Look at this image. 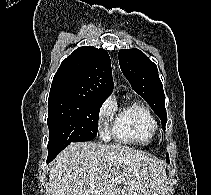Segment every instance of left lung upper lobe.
Wrapping results in <instances>:
<instances>
[{
  "instance_id": "obj_1",
  "label": "left lung upper lobe",
  "mask_w": 211,
  "mask_h": 195,
  "mask_svg": "<svg viewBox=\"0 0 211 195\" xmlns=\"http://www.w3.org/2000/svg\"><path fill=\"white\" fill-rule=\"evenodd\" d=\"M118 58L120 68L133 90L150 105L165 129L167 122L165 95L156 64L136 48L121 49ZM166 160L169 162L168 154Z\"/></svg>"
}]
</instances>
